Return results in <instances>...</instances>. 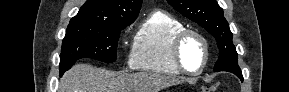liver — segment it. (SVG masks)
Returning <instances> with one entry per match:
<instances>
[{
	"mask_svg": "<svg viewBox=\"0 0 289 92\" xmlns=\"http://www.w3.org/2000/svg\"><path fill=\"white\" fill-rule=\"evenodd\" d=\"M179 79L158 73L118 75L102 68L77 64L60 80L61 92H159L179 84Z\"/></svg>",
	"mask_w": 289,
	"mask_h": 92,
	"instance_id": "6515ba94",
	"label": "liver"
}]
</instances>
